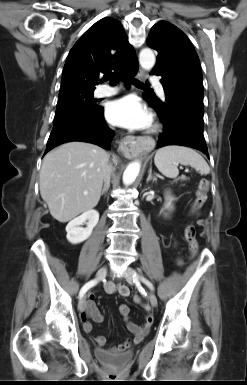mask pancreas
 Returning a JSON list of instances; mask_svg holds the SVG:
<instances>
[{
  "instance_id": "cf45deb5",
  "label": "pancreas",
  "mask_w": 247,
  "mask_h": 385,
  "mask_svg": "<svg viewBox=\"0 0 247 385\" xmlns=\"http://www.w3.org/2000/svg\"><path fill=\"white\" fill-rule=\"evenodd\" d=\"M177 180H187V178L185 176H181ZM177 180H175L174 182H176Z\"/></svg>"
}]
</instances>
